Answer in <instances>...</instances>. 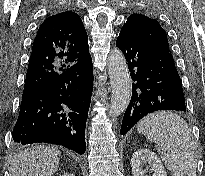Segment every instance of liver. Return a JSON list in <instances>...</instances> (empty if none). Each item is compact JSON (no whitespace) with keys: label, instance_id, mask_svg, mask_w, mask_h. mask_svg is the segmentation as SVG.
Listing matches in <instances>:
<instances>
[{"label":"liver","instance_id":"6515ba94","mask_svg":"<svg viewBox=\"0 0 205 176\" xmlns=\"http://www.w3.org/2000/svg\"><path fill=\"white\" fill-rule=\"evenodd\" d=\"M61 152L53 146H33L15 156L11 176H52L59 166Z\"/></svg>","mask_w":205,"mask_h":176}]
</instances>
